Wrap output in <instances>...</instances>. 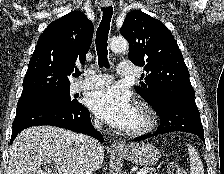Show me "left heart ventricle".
<instances>
[{
  "instance_id": "b2bd125f",
  "label": "left heart ventricle",
  "mask_w": 224,
  "mask_h": 174,
  "mask_svg": "<svg viewBox=\"0 0 224 174\" xmlns=\"http://www.w3.org/2000/svg\"><path fill=\"white\" fill-rule=\"evenodd\" d=\"M141 122V117L139 112L136 110V113L131 121V123L129 124V126L126 129H132L134 127H137Z\"/></svg>"
}]
</instances>
